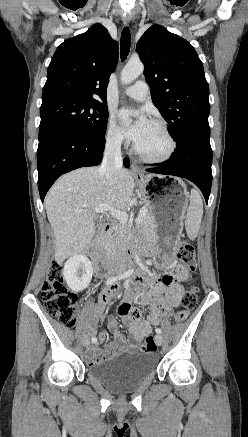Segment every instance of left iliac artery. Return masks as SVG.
Wrapping results in <instances>:
<instances>
[{
  "label": "left iliac artery",
  "mask_w": 248,
  "mask_h": 437,
  "mask_svg": "<svg viewBox=\"0 0 248 437\" xmlns=\"http://www.w3.org/2000/svg\"><path fill=\"white\" fill-rule=\"evenodd\" d=\"M124 285H125L126 288H128L129 287V280H126ZM155 331H156L157 334H161L162 333V330L160 328H156Z\"/></svg>",
  "instance_id": "44dca946"
}]
</instances>
